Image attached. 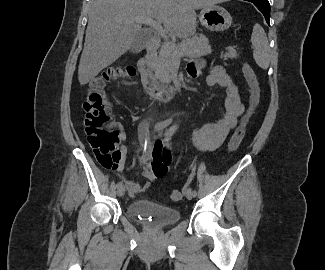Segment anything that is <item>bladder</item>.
Instances as JSON below:
<instances>
[{
	"instance_id": "bladder-1",
	"label": "bladder",
	"mask_w": 325,
	"mask_h": 270,
	"mask_svg": "<svg viewBox=\"0 0 325 270\" xmlns=\"http://www.w3.org/2000/svg\"><path fill=\"white\" fill-rule=\"evenodd\" d=\"M126 211L130 218L152 228L171 226L181 219V213L177 208L147 199H137L131 202Z\"/></svg>"
}]
</instances>
